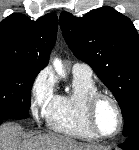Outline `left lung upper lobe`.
<instances>
[{"label":"left lung upper lobe","instance_id":"left-lung-upper-lobe-1","mask_svg":"<svg viewBox=\"0 0 139 150\" xmlns=\"http://www.w3.org/2000/svg\"><path fill=\"white\" fill-rule=\"evenodd\" d=\"M60 25L74 55L93 68L118 101L123 135L139 134V36L133 23L105 6L80 18L62 12Z\"/></svg>","mask_w":139,"mask_h":150}]
</instances>
